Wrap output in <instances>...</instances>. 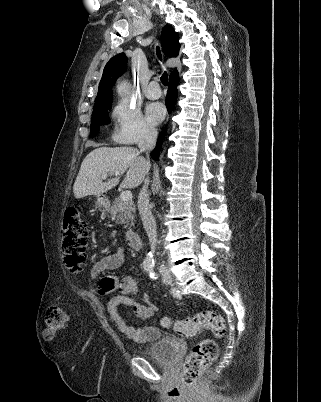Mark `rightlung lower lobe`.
Masks as SVG:
<instances>
[{
    "mask_svg": "<svg viewBox=\"0 0 321 402\" xmlns=\"http://www.w3.org/2000/svg\"><path fill=\"white\" fill-rule=\"evenodd\" d=\"M179 81V77H178V73H174L170 76L169 79V89H168V93H167V98H166V107L168 109V111H171L176 103L177 100V84ZM162 136L159 137L158 139V144L156 146V148L151 152V157L154 160H158L159 158V153H160V149H161V145H162Z\"/></svg>",
    "mask_w": 321,
    "mask_h": 402,
    "instance_id": "right-lung-lower-lobe-1",
    "label": "right lung lower lobe"
}]
</instances>
